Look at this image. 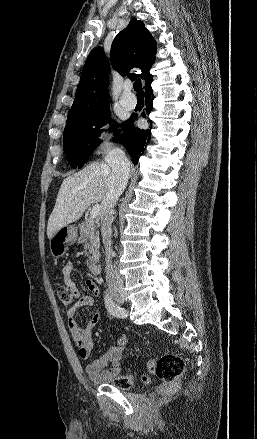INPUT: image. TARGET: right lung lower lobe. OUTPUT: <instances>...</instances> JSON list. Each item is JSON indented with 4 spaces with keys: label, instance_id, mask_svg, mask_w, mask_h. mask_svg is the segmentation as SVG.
Segmentation results:
<instances>
[{
    "label": "right lung lower lobe",
    "instance_id": "obj_1",
    "mask_svg": "<svg viewBox=\"0 0 257 439\" xmlns=\"http://www.w3.org/2000/svg\"><path fill=\"white\" fill-rule=\"evenodd\" d=\"M153 78L150 79L145 86V96H146V113L149 114L153 109V93L151 90V82ZM144 116V114H143ZM134 116L127 120L123 126L124 132L116 137V141L122 143L128 153L132 158V162L137 164L140 155L143 154V148L147 145L151 139L150 130H141L133 126Z\"/></svg>",
    "mask_w": 257,
    "mask_h": 439
}]
</instances>
